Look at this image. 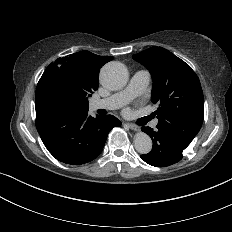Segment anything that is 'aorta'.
Masks as SVG:
<instances>
[{
    "mask_svg": "<svg viewBox=\"0 0 232 232\" xmlns=\"http://www.w3.org/2000/svg\"><path fill=\"white\" fill-rule=\"evenodd\" d=\"M99 77L103 86L114 91L127 84L129 74L122 63L111 61L101 68ZM134 146L140 154H147L152 149V140L146 133L138 132L134 138Z\"/></svg>",
    "mask_w": 232,
    "mask_h": 232,
    "instance_id": "aorta-1",
    "label": "aorta"
}]
</instances>
